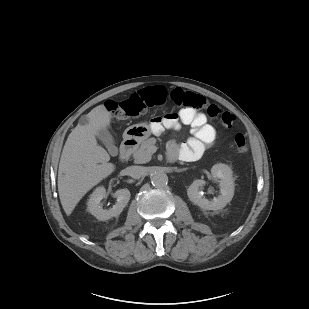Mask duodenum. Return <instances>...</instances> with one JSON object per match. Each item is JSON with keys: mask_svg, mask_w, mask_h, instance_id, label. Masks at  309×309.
<instances>
[{"mask_svg": "<svg viewBox=\"0 0 309 309\" xmlns=\"http://www.w3.org/2000/svg\"><path fill=\"white\" fill-rule=\"evenodd\" d=\"M136 140L132 137H128L121 145L119 151V159L126 160L134 151L136 147Z\"/></svg>", "mask_w": 309, "mask_h": 309, "instance_id": "410a0bca", "label": "duodenum"}]
</instances>
